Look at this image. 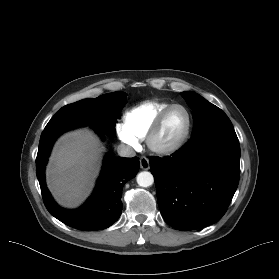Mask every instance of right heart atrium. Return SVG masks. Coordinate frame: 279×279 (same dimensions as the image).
<instances>
[{
  "label": "right heart atrium",
  "mask_w": 279,
  "mask_h": 279,
  "mask_svg": "<svg viewBox=\"0 0 279 279\" xmlns=\"http://www.w3.org/2000/svg\"><path fill=\"white\" fill-rule=\"evenodd\" d=\"M115 131L118 138L127 146L135 148L138 145V139L123 124H116Z\"/></svg>",
  "instance_id": "1"
}]
</instances>
